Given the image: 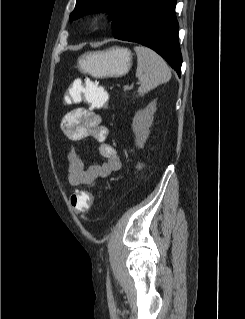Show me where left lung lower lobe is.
<instances>
[{"instance_id": "obj_1", "label": "left lung lower lobe", "mask_w": 245, "mask_h": 319, "mask_svg": "<svg viewBox=\"0 0 245 319\" xmlns=\"http://www.w3.org/2000/svg\"><path fill=\"white\" fill-rule=\"evenodd\" d=\"M177 0H141L114 37L145 45L160 56L180 76L182 56L175 15Z\"/></svg>"}]
</instances>
